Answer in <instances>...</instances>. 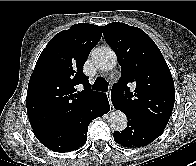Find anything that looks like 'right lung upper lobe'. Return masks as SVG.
I'll list each match as a JSON object with an SVG mask.
<instances>
[{
  "mask_svg": "<svg viewBox=\"0 0 196 166\" xmlns=\"http://www.w3.org/2000/svg\"><path fill=\"white\" fill-rule=\"evenodd\" d=\"M103 27L79 23L56 34L39 56L27 90L33 131L71 123L92 101L106 95L91 90L82 72ZM78 85L84 89L78 91Z\"/></svg>",
  "mask_w": 196,
  "mask_h": 166,
  "instance_id": "cb5924a9",
  "label": "right lung upper lobe"
}]
</instances>
